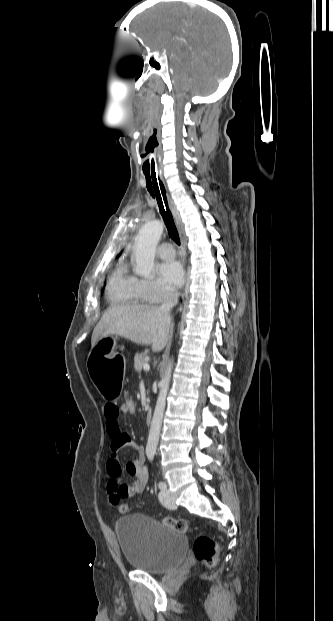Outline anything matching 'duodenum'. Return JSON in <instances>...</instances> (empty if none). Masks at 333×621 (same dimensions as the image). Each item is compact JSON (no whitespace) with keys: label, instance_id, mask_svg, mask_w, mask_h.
Masks as SVG:
<instances>
[{"label":"duodenum","instance_id":"obj_1","mask_svg":"<svg viewBox=\"0 0 333 621\" xmlns=\"http://www.w3.org/2000/svg\"><path fill=\"white\" fill-rule=\"evenodd\" d=\"M151 420H152V410L148 409L147 412H146V422L150 423Z\"/></svg>","mask_w":333,"mask_h":621}]
</instances>
